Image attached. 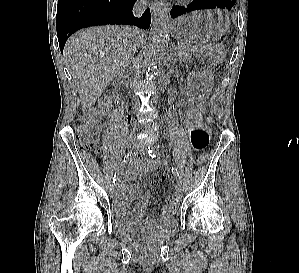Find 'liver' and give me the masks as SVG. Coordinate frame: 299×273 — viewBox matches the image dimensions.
I'll return each mask as SVG.
<instances>
[{"label": "liver", "mask_w": 299, "mask_h": 273, "mask_svg": "<svg viewBox=\"0 0 299 273\" xmlns=\"http://www.w3.org/2000/svg\"><path fill=\"white\" fill-rule=\"evenodd\" d=\"M143 33L125 26L95 27L72 35L64 55L77 86L82 109H89L127 65L130 42L140 45Z\"/></svg>", "instance_id": "1"}]
</instances>
